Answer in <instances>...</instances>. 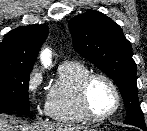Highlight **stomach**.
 I'll list each match as a JSON object with an SVG mask.
<instances>
[{
  "label": "stomach",
  "mask_w": 147,
  "mask_h": 131,
  "mask_svg": "<svg viewBox=\"0 0 147 131\" xmlns=\"http://www.w3.org/2000/svg\"><path fill=\"white\" fill-rule=\"evenodd\" d=\"M86 131H96V130H88V129H87Z\"/></svg>",
  "instance_id": "stomach-1"
}]
</instances>
